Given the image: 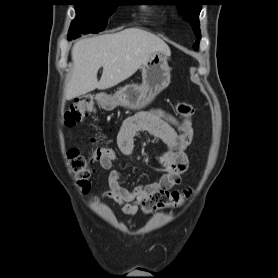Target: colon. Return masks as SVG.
Returning a JSON list of instances; mask_svg holds the SVG:
<instances>
[{
    "mask_svg": "<svg viewBox=\"0 0 278 278\" xmlns=\"http://www.w3.org/2000/svg\"><path fill=\"white\" fill-rule=\"evenodd\" d=\"M95 111V102L91 96H82L76 99L65 111L64 123L66 126H76L84 122L86 117ZM178 115L183 119V130L177 137L176 147L186 152L193 140L191 118L194 107L187 102H179L176 105ZM70 167L76 176L78 186L85 190L90 185L93 175L91 160L83 156L78 150L71 149L67 153ZM92 158L96 161L106 158H116V152L112 148L98 147L94 150ZM190 195L189 190L165 191L158 190L151 193L143 202L142 209L145 213H152L165 208L180 206Z\"/></svg>",
    "mask_w": 278,
    "mask_h": 278,
    "instance_id": "obj_1",
    "label": "colon"
}]
</instances>
